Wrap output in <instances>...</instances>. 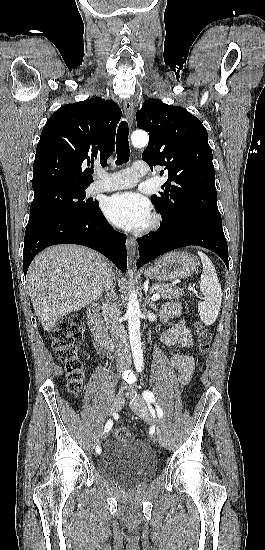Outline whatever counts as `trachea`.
<instances>
[{
    "mask_svg": "<svg viewBox=\"0 0 265 550\" xmlns=\"http://www.w3.org/2000/svg\"><path fill=\"white\" fill-rule=\"evenodd\" d=\"M128 135H129L128 123L126 121H121L118 127L117 137H116V153H117L116 165L126 163L129 160L130 149H129Z\"/></svg>",
    "mask_w": 265,
    "mask_h": 550,
    "instance_id": "1",
    "label": "trachea"
}]
</instances>
